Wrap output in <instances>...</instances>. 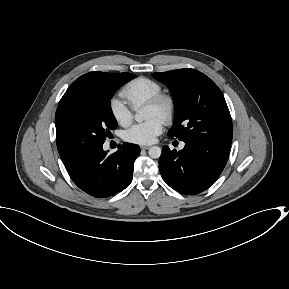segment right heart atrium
<instances>
[{
  "mask_svg": "<svg viewBox=\"0 0 289 289\" xmlns=\"http://www.w3.org/2000/svg\"><path fill=\"white\" fill-rule=\"evenodd\" d=\"M109 110L113 119L121 126L126 127L132 123L133 110L121 99L112 98L109 102Z\"/></svg>",
  "mask_w": 289,
  "mask_h": 289,
  "instance_id": "right-heart-atrium-1",
  "label": "right heart atrium"
}]
</instances>
